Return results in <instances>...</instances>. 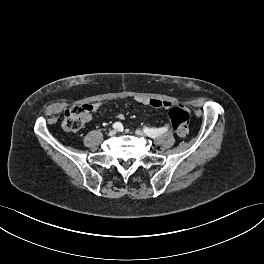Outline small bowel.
Listing matches in <instances>:
<instances>
[{"instance_id":"obj_1","label":"small bowel","mask_w":264,"mask_h":264,"mask_svg":"<svg viewBox=\"0 0 264 264\" xmlns=\"http://www.w3.org/2000/svg\"><path fill=\"white\" fill-rule=\"evenodd\" d=\"M136 100L140 104L149 105V106L156 107V108L169 109L173 105V103L170 101L159 100V99H150V98H145V97H139ZM90 107H91L92 111H96L99 108V104L98 103H92V104H90ZM118 118L123 119L124 116L122 114H119Z\"/></svg>"}]
</instances>
